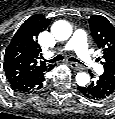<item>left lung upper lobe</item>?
<instances>
[{
	"label": "left lung upper lobe",
	"instance_id": "obj_1",
	"mask_svg": "<svg viewBox=\"0 0 115 119\" xmlns=\"http://www.w3.org/2000/svg\"><path fill=\"white\" fill-rule=\"evenodd\" d=\"M89 24L92 37L102 49L104 73L115 79V28L101 15L92 16Z\"/></svg>",
	"mask_w": 115,
	"mask_h": 119
}]
</instances>
